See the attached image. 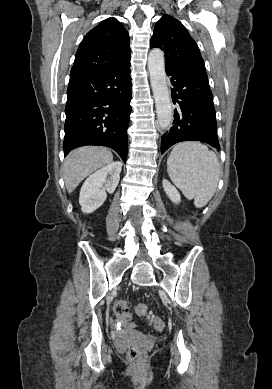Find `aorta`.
Here are the masks:
<instances>
[{
	"label": "aorta",
	"mask_w": 272,
	"mask_h": 389,
	"mask_svg": "<svg viewBox=\"0 0 272 389\" xmlns=\"http://www.w3.org/2000/svg\"><path fill=\"white\" fill-rule=\"evenodd\" d=\"M148 70L156 104L157 121L161 129H167L173 119V107L166 81L164 53L154 48L148 55Z\"/></svg>",
	"instance_id": "obj_1"
}]
</instances>
